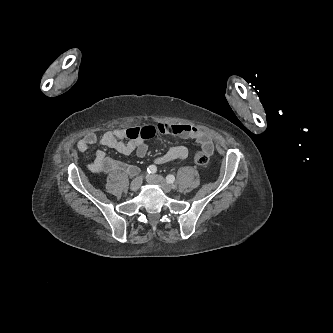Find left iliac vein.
Returning a JSON list of instances; mask_svg holds the SVG:
<instances>
[{
  "label": "left iliac vein",
  "mask_w": 333,
  "mask_h": 333,
  "mask_svg": "<svg viewBox=\"0 0 333 333\" xmlns=\"http://www.w3.org/2000/svg\"><path fill=\"white\" fill-rule=\"evenodd\" d=\"M146 181L150 184L161 186L165 192H169L172 189V186L160 175H147Z\"/></svg>",
  "instance_id": "4c4485c4"
}]
</instances>
